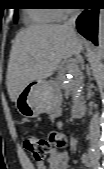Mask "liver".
I'll list each match as a JSON object with an SVG mask.
<instances>
[{
    "label": "liver",
    "mask_w": 104,
    "mask_h": 169,
    "mask_svg": "<svg viewBox=\"0 0 104 169\" xmlns=\"http://www.w3.org/2000/svg\"><path fill=\"white\" fill-rule=\"evenodd\" d=\"M82 39L64 25H32L15 37L7 68V90L15 102L34 80L50 77L62 59L78 56Z\"/></svg>",
    "instance_id": "6515ba94"
}]
</instances>
